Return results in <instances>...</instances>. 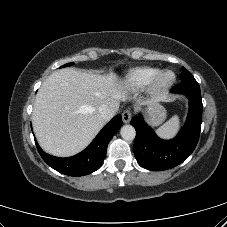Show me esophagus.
Instances as JSON below:
<instances>
[{"mask_svg":"<svg viewBox=\"0 0 227 227\" xmlns=\"http://www.w3.org/2000/svg\"><path fill=\"white\" fill-rule=\"evenodd\" d=\"M132 117V113L130 110H125L122 113V119L124 123H129Z\"/></svg>","mask_w":227,"mask_h":227,"instance_id":"34e87169","label":"esophagus"}]
</instances>
